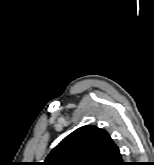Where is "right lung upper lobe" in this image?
<instances>
[{"label":"right lung upper lobe","mask_w":154,"mask_h":165,"mask_svg":"<svg viewBox=\"0 0 154 165\" xmlns=\"http://www.w3.org/2000/svg\"><path fill=\"white\" fill-rule=\"evenodd\" d=\"M119 149L109 134L93 125L83 126L64 138L43 165H112Z\"/></svg>","instance_id":"obj_1"}]
</instances>
